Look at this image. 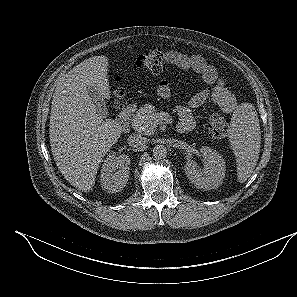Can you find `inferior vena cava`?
<instances>
[{"mask_svg":"<svg viewBox=\"0 0 297 297\" xmlns=\"http://www.w3.org/2000/svg\"><path fill=\"white\" fill-rule=\"evenodd\" d=\"M128 143L132 147L142 148L147 145L148 139L141 134H133L129 136Z\"/></svg>","mask_w":297,"mask_h":297,"instance_id":"inferior-vena-cava-1","label":"inferior vena cava"}]
</instances>
